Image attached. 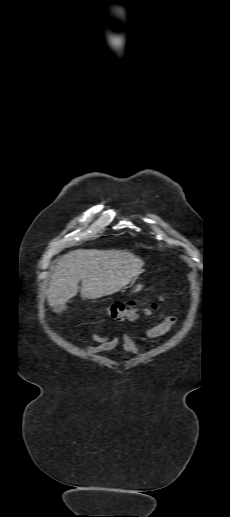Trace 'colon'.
Masks as SVG:
<instances>
[{
  "label": "colon",
  "instance_id": "1",
  "mask_svg": "<svg viewBox=\"0 0 230 517\" xmlns=\"http://www.w3.org/2000/svg\"><path fill=\"white\" fill-rule=\"evenodd\" d=\"M161 302V299L147 300L141 305L133 301L115 302L107 307V315L115 320H136L140 313L149 314Z\"/></svg>",
  "mask_w": 230,
  "mask_h": 517
}]
</instances>
